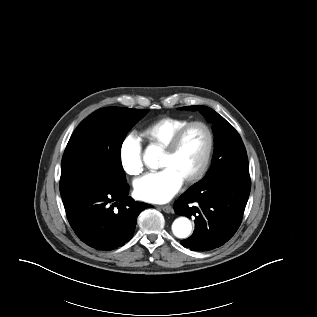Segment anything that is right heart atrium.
Segmentation results:
<instances>
[{"instance_id": "right-heart-atrium-1", "label": "right heart atrium", "mask_w": 317, "mask_h": 317, "mask_svg": "<svg viewBox=\"0 0 317 317\" xmlns=\"http://www.w3.org/2000/svg\"><path fill=\"white\" fill-rule=\"evenodd\" d=\"M118 159L123 171L137 176L143 171L142 145L135 135H127L118 150Z\"/></svg>"}]
</instances>
